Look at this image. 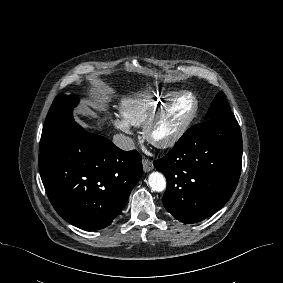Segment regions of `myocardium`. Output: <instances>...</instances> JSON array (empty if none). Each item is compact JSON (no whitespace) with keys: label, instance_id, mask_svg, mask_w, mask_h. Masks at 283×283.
<instances>
[{"label":"myocardium","instance_id":"obj_1","mask_svg":"<svg viewBox=\"0 0 283 283\" xmlns=\"http://www.w3.org/2000/svg\"><path fill=\"white\" fill-rule=\"evenodd\" d=\"M180 99H188L191 102L188 113L170 135L163 139H155L153 136V130L155 126L167 113L170 107ZM198 108V100L193 93L188 91H181L171 94L150 114L148 119L143 124V134L145 139L158 148H169L174 146L192 125L197 115Z\"/></svg>","mask_w":283,"mask_h":283}]
</instances>
